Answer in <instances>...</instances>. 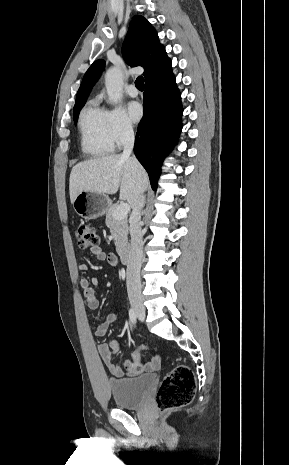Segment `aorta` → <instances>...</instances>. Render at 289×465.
Masks as SVG:
<instances>
[{
  "mask_svg": "<svg viewBox=\"0 0 289 465\" xmlns=\"http://www.w3.org/2000/svg\"><path fill=\"white\" fill-rule=\"evenodd\" d=\"M105 86L109 101L118 103L123 93V78L120 69L111 67L105 74Z\"/></svg>",
  "mask_w": 289,
  "mask_h": 465,
  "instance_id": "1",
  "label": "aorta"
}]
</instances>
